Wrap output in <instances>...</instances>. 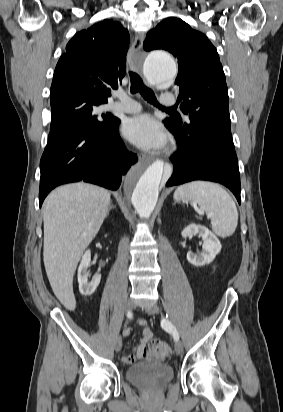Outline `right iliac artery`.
Masks as SVG:
<instances>
[{
	"mask_svg": "<svg viewBox=\"0 0 283 412\" xmlns=\"http://www.w3.org/2000/svg\"><path fill=\"white\" fill-rule=\"evenodd\" d=\"M131 316H132V313L130 311H128L127 317H131Z\"/></svg>",
	"mask_w": 283,
	"mask_h": 412,
	"instance_id": "82829eb1",
	"label": "right iliac artery"
}]
</instances>
